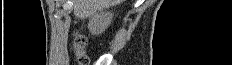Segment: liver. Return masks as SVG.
<instances>
[{
	"mask_svg": "<svg viewBox=\"0 0 232 65\" xmlns=\"http://www.w3.org/2000/svg\"><path fill=\"white\" fill-rule=\"evenodd\" d=\"M124 0H72L74 15L77 18L85 19L96 12L122 3Z\"/></svg>",
	"mask_w": 232,
	"mask_h": 65,
	"instance_id": "6515ba94",
	"label": "liver"
}]
</instances>
